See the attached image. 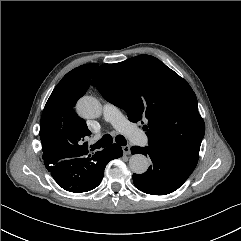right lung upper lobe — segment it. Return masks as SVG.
Wrapping results in <instances>:
<instances>
[{
	"label": "right lung upper lobe",
	"instance_id": "obj_1",
	"mask_svg": "<svg viewBox=\"0 0 241 241\" xmlns=\"http://www.w3.org/2000/svg\"><path fill=\"white\" fill-rule=\"evenodd\" d=\"M97 63L82 65L67 73L50 95L41 118L40 139L43 158L59 160L89 153L84 137L91 132L74 111L77 100L91 83Z\"/></svg>",
	"mask_w": 241,
	"mask_h": 241
}]
</instances>
